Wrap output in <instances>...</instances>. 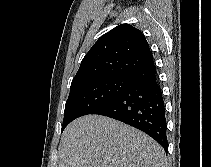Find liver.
Returning a JSON list of instances; mask_svg holds the SVG:
<instances>
[{"label":"liver","mask_w":211,"mask_h":167,"mask_svg":"<svg viewBox=\"0 0 211 167\" xmlns=\"http://www.w3.org/2000/svg\"><path fill=\"white\" fill-rule=\"evenodd\" d=\"M59 167H166V156L142 131L109 117L86 115L64 130Z\"/></svg>","instance_id":"1"}]
</instances>
